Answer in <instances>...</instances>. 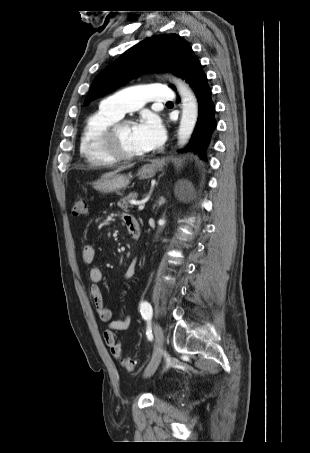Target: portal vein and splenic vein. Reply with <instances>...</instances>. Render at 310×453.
<instances>
[{
    "mask_svg": "<svg viewBox=\"0 0 310 453\" xmlns=\"http://www.w3.org/2000/svg\"><path fill=\"white\" fill-rule=\"evenodd\" d=\"M130 204H132V205H138V209H139V210H143V209H144V206H145L144 202H142V201H135V200H131V201H130Z\"/></svg>",
    "mask_w": 310,
    "mask_h": 453,
    "instance_id": "portal-vein-and-splenic-vein-1",
    "label": "portal vein and splenic vein"
}]
</instances>
